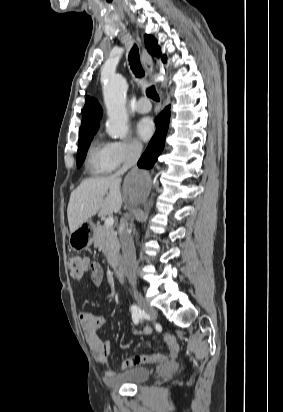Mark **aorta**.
Returning <instances> with one entry per match:
<instances>
[{
	"label": "aorta",
	"instance_id": "1",
	"mask_svg": "<svg viewBox=\"0 0 283 412\" xmlns=\"http://www.w3.org/2000/svg\"><path fill=\"white\" fill-rule=\"evenodd\" d=\"M127 83L120 75H114L104 81L103 95L107 109V133L114 138L123 139L128 133V115L126 110ZM149 187V178L145 172H136L125 183V193L132 199L144 195Z\"/></svg>",
	"mask_w": 283,
	"mask_h": 412
}]
</instances>
